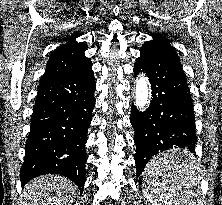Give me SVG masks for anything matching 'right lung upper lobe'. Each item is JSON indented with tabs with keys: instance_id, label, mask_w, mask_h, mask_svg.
Here are the masks:
<instances>
[{
	"instance_id": "obj_1",
	"label": "right lung upper lobe",
	"mask_w": 222,
	"mask_h": 205,
	"mask_svg": "<svg viewBox=\"0 0 222 205\" xmlns=\"http://www.w3.org/2000/svg\"><path fill=\"white\" fill-rule=\"evenodd\" d=\"M77 37L78 35L71 36L67 43L54 51L42 79L78 73L92 66L91 59L84 55L87 45L76 42Z\"/></svg>"
}]
</instances>
